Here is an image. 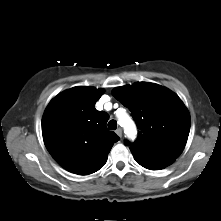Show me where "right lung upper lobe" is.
<instances>
[{"label":"right lung upper lobe","mask_w":221,"mask_h":221,"mask_svg":"<svg viewBox=\"0 0 221 221\" xmlns=\"http://www.w3.org/2000/svg\"><path fill=\"white\" fill-rule=\"evenodd\" d=\"M103 90L78 86L51 100L42 119V135L52 157L66 170L88 175L107 161L119 137L106 127L109 115L95 103Z\"/></svg>","instance_id":"obj_1"}]
</instances>
